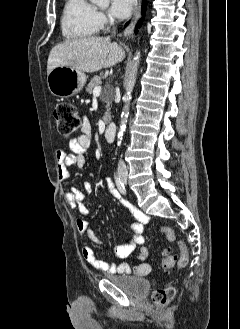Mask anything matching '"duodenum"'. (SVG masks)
<instances>
[{
  "label": "duodenum",
  "instance_id": "410a0bca",
  "mask_svg": "<svg viewBox=\"0 0 240 329\" xmlns=\"http://www.w3.org/2000/svg\"><path fill=\"white\" fill-rule=\"evenodd\" d=\"M116 134V126L114 123H109L104 131V137L108 142H113Z\"/></svg>",
  "mask_w": 240,
  "mask_h": 329
}]
</instances>
